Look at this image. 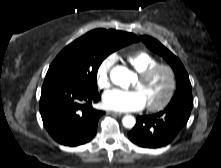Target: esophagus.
<instances>
[{"mask_svg":"<svg viewBox=\"0 0 221 168\" xmlns=\"http://www.w3.org/2000/svg\"><path fill=\"white\" fill-rule=\"evenodd\" d=\"M109 113L114 116H122V113H119V112L110 111Z\"/></svg>","mask_w":221,"mask_h":168,"instance_id":"1","label":"esophagus"}]
</instances>
